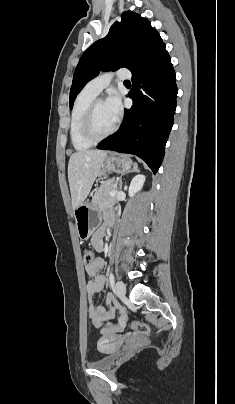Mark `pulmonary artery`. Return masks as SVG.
Listing matches in <instances>:
<instances>
[{
  "mask_svg": "<svg viewBox=\"0 0 235 404\" xmlns=\"http://www.w3.org/2000/svg\"><path fill=\"white\" fill-rule=\"evenodd\" d=\"M114 76L119 79L127 80L131 78V72L129 69L123 68L117 70L116 72L104 73L89 81L85 85L84 90L97 96L104 88H106L110 84Z\"/></svg>",
  "mask_w": 235,
  "mask_h": 404,
  "instance_id": "obj_1",
  "label": "pulmonary artery"
}]
</instances>
